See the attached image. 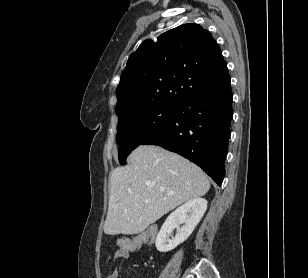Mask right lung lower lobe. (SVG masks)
I'll return each instance as SVG.
<instances>
[{
	"instance_id": "98d812e1",
	"label": "right lung lower lobe",
	"mask_w": 308,
	"mask_h": 278,
	"mask_svg": "<svg viewBox=\"0 0 308 278\" xmlns=\"http://www.w3.org/2000/svg\"><path fill=\"white\" fill-rule=\"evenodd\" d=\"M233 94L231 80L178 105L176 118L142 142L176 152L200 166L219 186L225 173Z\"/></svg>"
}]
</instances>
